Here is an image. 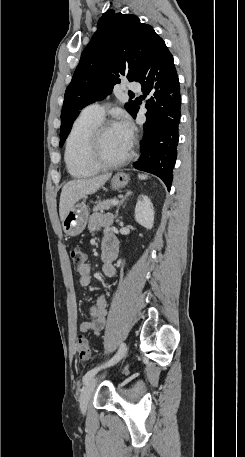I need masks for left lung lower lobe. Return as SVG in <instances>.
Listing matches in <instances>:
<instances>
[{"mask_svg": "<svg viewBox=\"0 0 245 457\" xmlns=\"http://www.w3.org/2000/svg\"><path fill=\"white\" fill-rule=\"evenodd\" d=\"M137 82L142 84L143 99L149 98L145 105L148 110L141 156L133 167L158 176L170 190L179 141L181 96L173 56L164 41L149 56ZM138 104L135 102L130 112L133 118L139 110Z\"/></svg>", "mask_w": 245, "mask_h": 457, "instance_id": "1", "label": "left lung lower lobe"}]
</instances>
